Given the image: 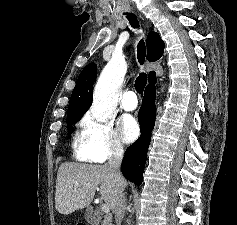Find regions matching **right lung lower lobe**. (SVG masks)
Masks as SVG:
<instances>
[{
  "label": "right lung lower lobe",
  "mask_w": 237,
  "mask_h": 225,
  "mask_svg": "<svg viewBox=\"0 0 237 225\" xmlns=\"http://www.w3.org/2000/svg\"><path fill=\"white\" fill-rule=\"evenodd\" d=\"M155 83H150L145 88L143 103L138 113L141 136L133 145L127 148L121 165L122 174L136 185L142 183L147 149L155 125Z\"/></svg>",
  "instance_id": "right-lung-lower-lobe-1"
}]
</instances>
